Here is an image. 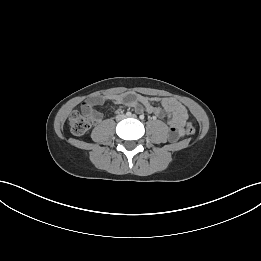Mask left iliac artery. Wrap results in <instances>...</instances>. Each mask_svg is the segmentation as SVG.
Wrapping results in <instances>:
<instances>
[{"label":"left iliac artery","mask_w":261,"mask_h":261,"mask_svg":"<svg viewBox=\"0 0 261 261\" xmlns=\"http://www.w3.org/2000/svg\"><path fill=\"white\" fill-rule=\"evenodd\" d=\"M139 118H140L141 120H143V119H144V115H140Z\"/></svg>","instance_id":"obj_1"}]
</instances>
